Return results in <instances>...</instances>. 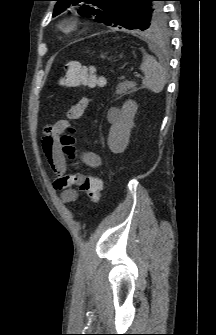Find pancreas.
Wrapping results in <instances>:
<instances>
[{
	"instance_id": "pancreas-1",
	"label": "pancreas",
	"mask_w": 216,
	"mask_h": 335,
	"mask_svg": "<svg viewBox=\"0 0 216 335\" xmlns=\"http://www.w3.org/2000/svg\"><path fill=\"white\" fill-rule=\"evenodd\" d=\"M137 90L138 88L136 87L135 82L124 81L122 83H119L116 87L117 99L121 98L124 95L131 94Z\"/></svg>"
}]
</instances>
